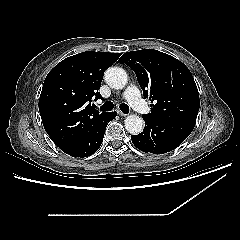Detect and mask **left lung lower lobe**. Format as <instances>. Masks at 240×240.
Listing matches in <instances>:
<instances>
[{"label":"left lung lower lobe","instance_id":"0a47b994","mask_svg":"<svg viewBox=\"0 0 240 240\" xmlns=\"http://www.w3.org/2000/svg\"><path fill=\"white\" fill-rule=\"evenodd\" d=\"M143 117V116H142ZM143 132L132 135L133 144L145 153L164 154L179 146L192 132L196 120H154L143 117Z\"/></svg>","mask_w":240,"mask_h":240}]
</instances>
